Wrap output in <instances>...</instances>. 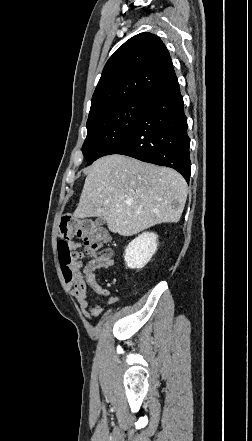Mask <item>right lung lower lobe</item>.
<instances>
[{"label":"right lung lower lobe","mask_w":252,"mask_h":441,"mask_svg":"<svg viewBox=\"0 0 252 441\" xmlns=\"http://www.w3.org/2000/svg\"><path fill=\"white\" fill-rule=\"evenodd\" d=\"M133 129L106 155L122 154L177 170L189 182L191 162L187 117L176 75L143 98Z\"/></svg>","instance_id":"obj_1"}]
</instances>
